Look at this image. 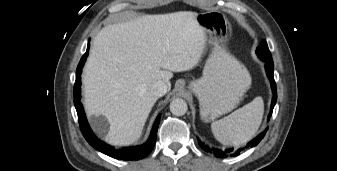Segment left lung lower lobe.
Instances as JSON below:
<instances>
[{
  "instance_id": "0a47b994",
  "label": "left lung lower lobe",
  "mask_w": 337,
  "mask_h": 171,
  "mask_svg": "<svg viewBox=\"0 0 337 171\" xmlns=\"http://www.w3.org/2000/svg\"><path fill=\"white\" fill-rule=\"evenodd\" d=\"M263 61H265V63H266L265 64L266 73H267V76L269 77V79L271 81V87H272V90H273V99H272V102H271L270 114L268 116V118H269L272 115V111H273V108H274L276 100H277V91H276V83L274 81V75H273V69H274L273 60H263ZM267 130H268V128H266L265 131H263L260 135H258L252 141H250L245 148H251V147L256 146L263 139ZM198 142H199V145L202 147L203 150H205L206 152L213 151L214 155L218 158H226L228 155L237 156V155H239V153L242 150L245 149V148H240L235 152H232V149H229V150H226V151H221V150H217V149H210L209 147L204 145L200 140Z\"/></svg>"
}]
</instances>
